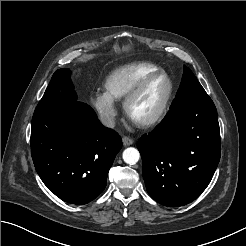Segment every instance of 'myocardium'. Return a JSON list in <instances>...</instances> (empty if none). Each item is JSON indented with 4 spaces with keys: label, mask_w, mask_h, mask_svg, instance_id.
<instances>
[{
    "label": "myocardium",
    "mask_w": 246,
    "mask_h": 246,
    "mask_svg": "<svg viewBox=\"0 0 246 246\" xmlns=\"http://www.w3.org/2000/svg\"><path fill=\"white\" fill-rule=\"evenodd\" d=\"M160 76H164L169 82V91H168V94H167L161 108L158 110V112L155 115H153L152 117H150L146 120L135 119L131 114V107H132L134 101L139 97V95L142 93V91L145 89V87L152 80H154L155 78L160 77ZM174 90H175L174 82L167 72L160 70V71L150 73L147 76H145L144 78H142L134 86V88L128 93V95L126 96V98L124 99V102H123L124 111H125L127 117L133 123H135L137 126L142 127V128L152 127V126L156 125L157 123H159L167 114L169 107L171 105V101L173 99Z\"/></svg>",
    "instance_id": "1"
}]
</instances>
